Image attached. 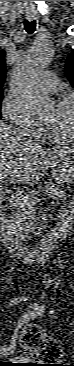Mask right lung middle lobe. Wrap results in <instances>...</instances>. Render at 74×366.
<instances>
[{
  "instance_id": "right-lung-middle-lobe-1",
  "label": "right lung middle lobe",
  "mask_w": 74,
  "mask_h": 366,
  "mask_svg": "<svg viewBox=\"0 0 74 366\" xmlns=\"http://www.w3.org/2000/svg\"><path fill=\"white\" fill-rule=\"evenodd\" d=\"M3 98V94H0V102L2 101Z\"/></svg>"
}]
</instances>
